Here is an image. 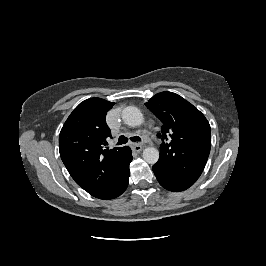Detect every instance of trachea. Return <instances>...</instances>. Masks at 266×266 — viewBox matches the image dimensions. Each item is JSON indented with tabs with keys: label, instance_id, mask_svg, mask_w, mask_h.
<instances>
[{
	"label": "trachea",
	"instance_id": "trachea-1",
	"mask_svg": "<svg viewBox=\"0 0 266 266\" xmlns=\"http://www.w3.org/2000/svg\"><path fill=\"white\" fill-rule=\"evenodd\" d=\"M128 139H130L131 141H134V142H140L141 141V138L139 136H133V137L127 138L126 136L121 135L118 139L117 145H122V144L127 143Z\"/></svg>",
	"mask_w": 266,
	"mask_h": 266
}]
</instances>
